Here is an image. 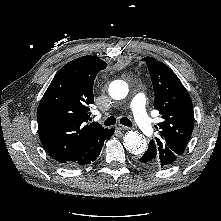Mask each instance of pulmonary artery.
<instances>
[{
	"instance_id": "1",
	"label": "pulmonary artery",
	"mask_w": 221,
	"mask_h": 221,
	"mask_svg": "<svg viewBox=\"0 0 221 221\" xmlns=\"http://www.w3.org/2000/svg\"><path fill=\"white\" fill-rule=\"evenodd\" d=\"M146 98L142 93H138L132 99L130 108L133 112V116L136 124L140 130L147 136L153 133V124L150 116L148 115L145 108Z\"/></svg>"
}]
</instances>
